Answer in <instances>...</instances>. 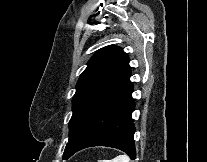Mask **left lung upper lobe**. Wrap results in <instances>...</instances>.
Returning a JSON list of instances; mask_svg holds the SVG:
<instances>
[{"label": "left lung upper lobe", "mask_w": 207, "mask_h": 162, "mask_svg": "<svg viewBox=\"0 0 207 162\" xmlns=\"http://www.w3.org/2000/svg\"><path fill=\"white\" fill-rule=\"evenodd\" d=\"M130 75L129 58L119 47L102 48L89 60L76 85L72 100L73 114L69 122V140L64 153L97 108L124 86Z\"/></svg>", "instance_id": "1"}]
</instances>
